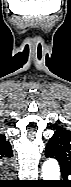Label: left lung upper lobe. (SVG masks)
<instances>
[{"label":"left lung upper lobe","mask_w":71,"mask_h":187,"mask_svg":"<svg viewBox=\"0 0 71 187\" xmlns=\"http://www.w3.org/2000/svg\"><path fill=\"white\" fill-rule=\"evenodd\" d=\"M45 154L52 155L61 167L71 172V131L58 127L46 146Z\"/></svg>","instance_id":"5c2ea615"}]
</instances>
